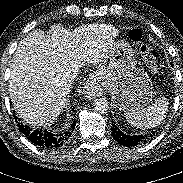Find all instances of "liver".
I'll return each instance as SVG.
<instances>
[{"mask_svg": "<svg viewBox=\"0 0 183 183\" xmlns=\"http://www.w3.org/2000/svg\"><path fill=\"white\" fill-rule=\"evenodd\" d=\"M117 36L115 26L103 23L73 31L54 25L50 35L31 31L19 43L10 67L9 93L20 118L31 126L53 123L73 83L69 67L100 64Z\"/></svg>", "mask_w": 183, "mask_h": 183, "instance_id": "6515ba94", "label": "liver"}]
</instances>
